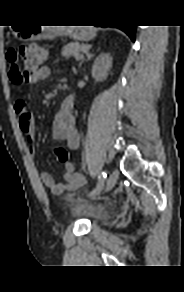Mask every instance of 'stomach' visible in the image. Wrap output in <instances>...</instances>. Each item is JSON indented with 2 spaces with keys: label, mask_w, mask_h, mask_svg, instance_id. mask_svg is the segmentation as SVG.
Segmentation results:
<instances>
[{
  "label": "stomach",
  "mask_w": 184,
  "mask_h": 292,
  "mask_svg": "<svg viewBox=\"0 0 184 292\" xmlns=\"http://www.w3.org/2000/svg\"><path fill=\"white\" fill-rule=\"evenodd\" d=\"M17 33L21 36V38L26 40H37L48 37V31L41 27H29L22 31H18ZM56 34H66L79 41H89L96 36V33L92 29L86 27L62 29L54 35Z\"/></svg>",
  "instance_id": "0dacf381"
}]
</instances>
